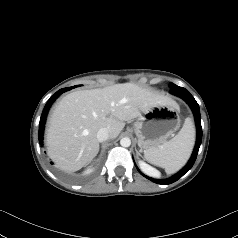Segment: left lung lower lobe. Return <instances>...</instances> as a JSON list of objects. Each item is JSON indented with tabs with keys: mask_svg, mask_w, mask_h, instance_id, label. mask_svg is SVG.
I'll return each instance as SVG.
<instances>
[{
	"mask_svg": "<svg viewBox=\"0 0 238 238\" xmlns=\"http://www.w3.org/2000/svg\"><path fill=\"white\" fill-rule=\"evenodd\" d=\"M170 93L182 98L191 107L193 114H194L196 128H197V140H196V144H195V148L192 153V156H191L190 160L188 161V163L186 164V166L182 170H180L177 174L172 176L171 178L164 179V180L150 178V177L144 175L143 173H141L140 170L137 168L139 173L141 175H143L144 177H146L147 179L151 180L152 182H155L158 184H163V185L171 184V183L177 181L180 177H182L186 172H188L192 168V166L196 160V157H197V154L199 151V147H200L201 141H202L201 116H200V109H199L198 103L196 102L194 97L190 94V92L183 87H179V86L175 85L174 87L171 88Z\"/></svg>",
	"mask_w": 238,
	"mask_h": 238,
	"instance_id": "1",
	"label": "left lung lower lobe"
}]
</instances>
